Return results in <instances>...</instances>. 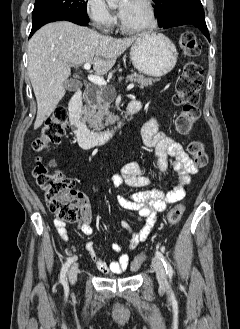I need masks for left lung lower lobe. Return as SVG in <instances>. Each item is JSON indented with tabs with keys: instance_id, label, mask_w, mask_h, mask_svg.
Wrapping results in <instances>:
<instances>
[{
	"instance_id": "0a47b994",
	"label": "left lung lower lobe",
	"mask_w": 240,
	"mask_h": 329,
	"mask_svg": "<svg viewBox=\"0 0 240 329\" xmlns=\"http://www.w3.org/2000/svg\"><path fill=\"white\" fill-rule=\"evenodd\" d=\"M191 24L199 28L202 33L210 40V35L205 22V17L195 15H179L169 19L162 28H171L181 25Z\"/></svg>"
}]
</instances>
